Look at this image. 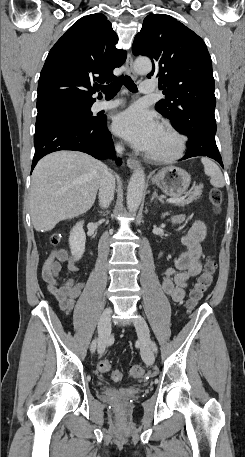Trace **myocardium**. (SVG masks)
Here are the masks:
<instances>
[{"instance_id":"myocardium-1","label":"myocardium","mask_w":245,"mask_h":457,"mask_svg":"<svg viewBox=\"0 0 245 457\" xmlns=\"http://www.w3.org/2000/svg\"><path fill=\"white\" fill-rule=\"evenodd\" d=\"M162 132L173 139V145L169 149L149 151L147 157L156 162H168L181 157L185 151L184 137L169 125H164Z\"/></svg>"}]
</instances>
